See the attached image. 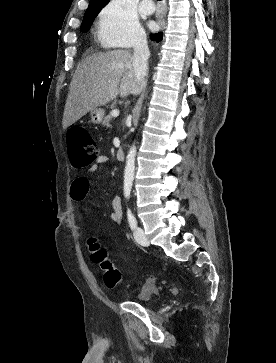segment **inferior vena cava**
Segmentation results:
<instances>
[{
	"label": "inferior vena cava",
	"mask_w": 276,
	"mask_h": 363,
	"mask_svg": "<svg viewBox=\"0 0 276 363\" xmlns=\"http://www.w3.org/2000/svg\"><path fill=\"white\" fill-rule=\"evenodd\" d=\"M133 48V69L137 80L143 81L148 71V59L150 56L146 36L139 37Z\"/></svg>",
	"instance_id": "obj_1"
}]
</instances>
